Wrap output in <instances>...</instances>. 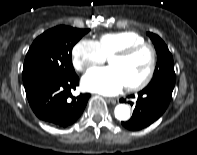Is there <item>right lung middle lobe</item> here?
I'll list each match as a JSON object with an SVG mask.
<instances>
[{
  "label": "right lung middle lobe",
  "instance_id": "dd1d6c3e",
  "mask_svg": "<svg viewBox=\"0 0 197 155\" xmlns=\"http://www.w3.org/2000/svg\"><path fill=\"white\" fill-rule=\"evenodd\" d=\"M89 29L57 26L38 36L26 55L23 84L26 95L40 86L75 73L71 52Z\"/></svg>",
  "mask_w": 197,
  "mask_h": 155
}]
</instances>
